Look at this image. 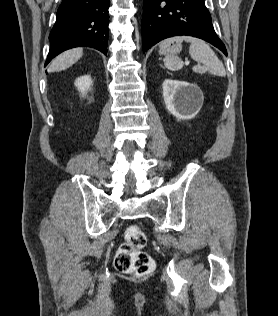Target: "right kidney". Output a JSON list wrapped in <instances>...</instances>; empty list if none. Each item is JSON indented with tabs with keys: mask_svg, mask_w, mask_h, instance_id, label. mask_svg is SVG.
Listing matches in <instances>:
<instances>
[{
	"mask_svg": "<svg viewBox=\"0 0 278 316\" xmlns=\"http://www.w3.org/2000/svg\"><path fill=\"white\" fill-rule=\"evenodd\" d=\"M75 86L77 87V89L82 93V95L84 96L85 93L91 89L92 86V80L91 77L89 75H84L81 77H78L75 80Z\"/></svg>",
	"mask_w": 278,
	"mask_h": 316,
	"instance_id": "right-kidney-1",
	"label": "right kidney"
}]
</instances>
